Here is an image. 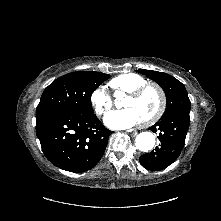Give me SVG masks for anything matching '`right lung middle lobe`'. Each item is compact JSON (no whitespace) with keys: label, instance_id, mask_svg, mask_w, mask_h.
Returning a JSON list of instances; mask_svg holds the SVG:
<instances>
[{"label":"right lung middle lobe","instance_id":"obj_1","mask_svg":"<svg viewBox=\"0 0 221 221\" xmlns=\"http://www.w3.org/2000/svg\"><path fill=\"white\" fill-rule=\"evenodd\" d=\"M109 76L95 71L66 74L53 81L43 92L36 110V121L72 112L92 115L91 95Z\"/></svg>","mask_w":221,"mask_h":221}]
</instances>
